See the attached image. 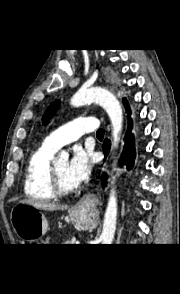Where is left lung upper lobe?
<instances>
[{"label": "left lung upper lobe", "instance_id": "1", "mask_svg": "<svg viewBox=\"0 0 180 294\" xmlns=\"http://www.w3.org/2000/svg\"><path fill=\"white\" fill-rule=\"evenodd\" d=\"M125 100L126 99H124V101ZM59 107H60V101H55L47 108L42 118L44 125H46L49 122V120L55 115Z\"/></svg>", "mask_w": 180, "mask_h": 294}]
</instances>
